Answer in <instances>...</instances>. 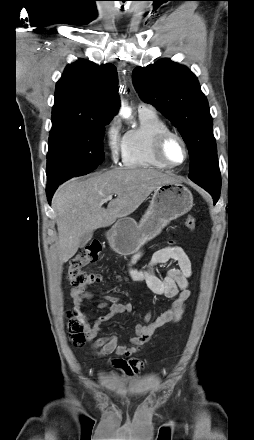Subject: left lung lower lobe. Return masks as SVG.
<instances>
[{"label": "left lung lower lobe", "mask_w": 254, "mask_h": 440, "mask_svg": "<svg viewBox=\"0 0 254 440\" xmlns=\"http://www.w3.org/2000/svg\"><path fill=\"white\" fill-rule=\"evenodd\" d=\"M218 201V199L216 198L215 200H214V203H216Z\"/></svg>", "instance_id": "left-lung-lower-lobe-1"}]
</instances>
